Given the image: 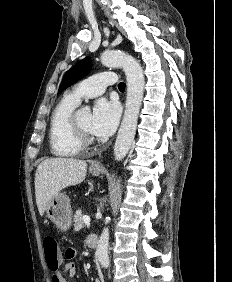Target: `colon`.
<instances>
[{"instance_id":"obj_1","label":"colon","mask_w":232,"mask_h":282,"mask_svg":"<svg viewBox=\"0 0 232 282\" xmlns=\"http://www.w3.org/2000/svg\"><path fill=\"white\" fill-rule=\"evenodd\" d=\"M43 249L48 268L51 271L58 270L63 256L57 240L53 236H45L43 238ZM64 255H66V251Z\"/></svg>"}]
</instances>
